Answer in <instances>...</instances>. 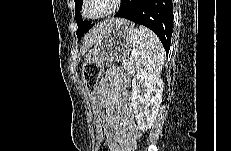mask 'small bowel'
<instances>
[{"label":"small bowel","instance_id":"c3829d8e","mask_svg":"<svg viewBox=\"0 0 231 151\" xmlns=\"http://www.w3.org/2000/svg\"><path fill=\"white\" fill-rule=\"evenodd\" d=\"M127 82L125 76L115 70L104 74L98 87L100 105L109 128L111 151H132L141 132L131 118L127 106V95L121 93L120 86Z\"/></svg>","mask_w":231,"mask_h":151}]
</instances>
